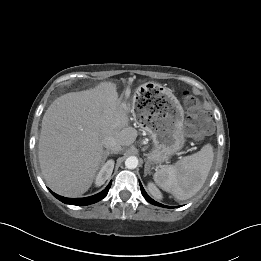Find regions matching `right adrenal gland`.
<instances>
[{"label":"right adrenal gland","instance_id":"right-adrenal-gland-1","mask_svg":"<svg viewBox=\"0 0 261 261\" xmlns=\"http://www.w3.org/2000/svg\"><path fill=\"white\" fill-rule=\"evenodd\" d=\"M110 154H116L115 152L113 151H109V150H106L103 152V156H102V162H105L107 157L110 155Z\"/></svg>","mask_w":261,"mask_h":261}]
</instances>
